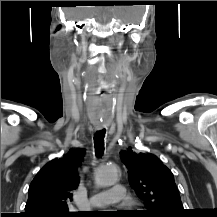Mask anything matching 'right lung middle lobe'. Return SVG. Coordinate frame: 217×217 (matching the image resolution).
<instances>
[{"instance_id": "right-lung-middle-lobe-1", "label": "right lung middle lobe", "mask_w": 217, "mask_h": 217, "mask_svg": "<svg viewBox=\"0 0 217 217\" xmlns=\"http://www.w3.org/2000/svg\"><path fill=\"white\" fill-rule=\"evenodd\" d=\"M58 217H76V215L75 214H73V215H61V216H58Z\"/></svg>"}]
</instances>
